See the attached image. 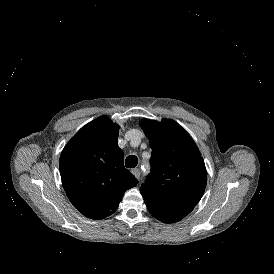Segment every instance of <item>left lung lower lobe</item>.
Listing matches in <instances>:
<instances>
[{
    "instance_id": "0a47b994",
    "label": "left lung lower lobe",
    "mask_w": 274,
    "mask_h": 274,
    "mask_svg": "<svg viewBox=\"0 0 274 274\" xmlns=\"http://www.w3.org/2000/svg\"><path fill=\"white\" fill-rule=\"evenodd\" d=\"M144 202L149 210V212L158 220L165 223H174L181 220L188 213H185L180 210L172 209L167 207L159 202H155L154 200L143 197Z\"/></svg>"
}]
</instances>
